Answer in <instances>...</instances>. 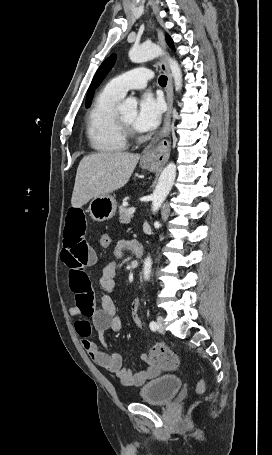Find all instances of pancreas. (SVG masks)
Instances as JSON below:
<instances>
[{"label": "pancreas", "mask_w": 272, "mask_h": 455, "mask_svg": "<svg viewBox=\"0 0 272 455\" xmlns=\"http://www.w3.org/2000/svg\"><path fill=\"white\" fill-rule=\"evenodd\" d=\"M129 208L120 206L119 207V220L123 224H127L131 221L132 215L128 213Z\"/></svg>", "instance_id": "obj_1"}]
</instances>
